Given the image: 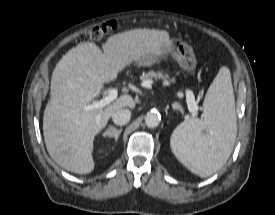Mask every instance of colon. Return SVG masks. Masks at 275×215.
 Wrapping results in <instances>:
<instances>
[{
  "mask_svg": "<svg viewBox=\"0 0 275 215\" xmlns=\"http://www.w3.org/2000/svg\"><path fill=\"white\" fill-rule=\"evenodd\" d=\"M118 22L116 20H110L100 26H96L88 32L82 33L77 37L80 42L99 41L105 36L114 33L118 29Z\"/></svg>",
  "mask_w": 275,
  "mask_h": 215,
  "instance_id": "colon-1",
  "label": "colon"
}]
</instances>
